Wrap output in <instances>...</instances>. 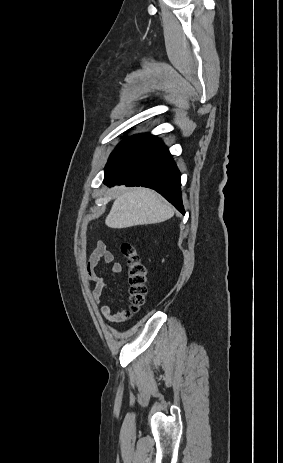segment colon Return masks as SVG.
Wrapping results in <instances>:
<instances>
[{
  "label": "colon",
  "mask_w": 283,
  "mask_h": 463,
  "mask_svg": "<svg viewBox=\"0 0 283 463\" xmlns=\"http://www.w3.org/2000/svg\"><path fill=\"white\" fill-rule=\"evenodd\" d=\"M121 251L126 260L129 291V307L123 311L122 317L129 318L144 303L148 288V271L133 245L123 242Z\"/></svg>",
  "instance_id": "obj_1"
}]
</instances>
